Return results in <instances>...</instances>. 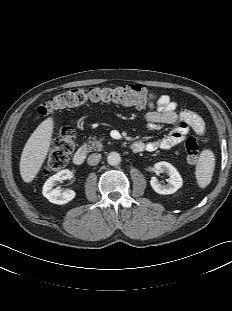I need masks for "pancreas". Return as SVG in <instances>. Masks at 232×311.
I'll use <instances>...</instances> for the list:
<instances>
[{
    "label": "pancreas",
    "mask_w": 232,
    "mask_h": 311,
    "mask_svg": "<svg viewBox=\"0 0 232 311\" xmlns=\"http://www.w3.org/2000/svg\"><path fill=\"white\" fill-rule=\"evenodd\" d=\"M103 139L96 140L95 137H93L91 140L88 141V145L85 144V146L88 147L89 150H95V151H101L103 148L102 141Z\"/></svg>",
    "instance_id": "cf45deb5"
}]
</instances>
